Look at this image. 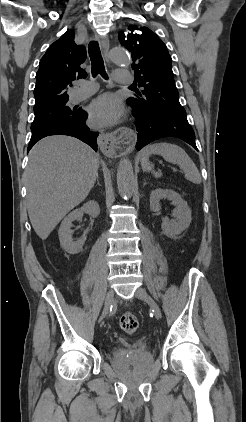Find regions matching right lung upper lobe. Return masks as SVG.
Returning <instances> with one entry per match:
<instances>
[{
  "mask_svg": "<svg viewBox=\"0 0 246 422\" xmlns=\"http://www.w3.org/2000/svg\"><path fill=\"white\" fill-rule=\"evenodd\" d=\"M74 36L73 31L65 32L41 58L36 73L34 109L68 99L71 82L87 76L80 67L86 59V49L74 42Z\"/></svg>",
  "mask_w": 246,
  "mask_h": 422,
  "instance_id": "obj_1",
  "label": "right lung upper lobe"
}]
</instances>
